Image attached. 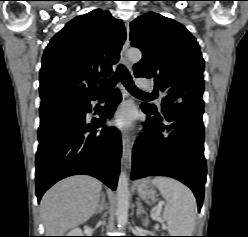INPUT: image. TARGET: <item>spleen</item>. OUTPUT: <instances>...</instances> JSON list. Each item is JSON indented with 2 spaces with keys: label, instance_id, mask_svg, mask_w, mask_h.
<instances>
[{
  "label": "spleen",
  "instance_id": "1",
  "mask_svg": "<svg viewBox=\"0 0 248 237\" xmlns=\"http://www.w3.org/2000/svg\"><path fill=\"white\" fill-rule=\"evenodd\" d=\"M152 184L166 200L163 218L171 236H191L196 219V200L182 183L167 177H155Z\"/></svg>",
  "mask_w": 248,
  "mask_h": 237
}]
</instances>
